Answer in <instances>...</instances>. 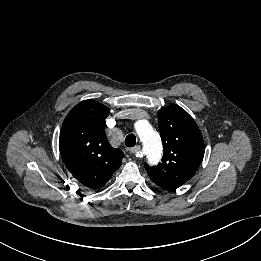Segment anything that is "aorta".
Masks as SVG:
<instances>
[{
  "label": "aorta",
  "mask_w": 261,
  "mask_h": 261,
  "mask_svg": "<svg viewBox=\"0 0 261 261\" xmlns=\"http://www.w3.org/2000/svg\"><path fill=\"white\" fill-rule=\"evenodd\" d=\"M136 132L143 143L150 164H157L162 156V143L158 134L148 121L139 120L135 124Z\"/></svg>",
  "instance_id": "aorta-1"
}]
</instances>
